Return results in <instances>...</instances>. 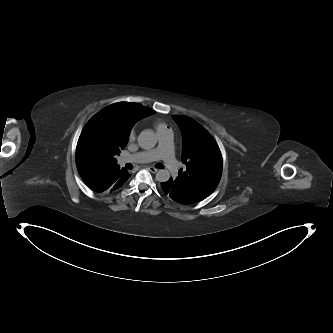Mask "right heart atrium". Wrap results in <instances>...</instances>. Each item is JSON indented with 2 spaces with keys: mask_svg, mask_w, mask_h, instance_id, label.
<instances>
[{
  "mask_svg": "<svg viewBox=\"0 0 333 333\" xmlns=\"http://www.w3.org/2000/svg\"><path fill=\"white\" fill-rule=\"evenodd\" d=\"M135 139V131L133 129L129 130L127 133V141L132 142Z\"/></svg>",
  "mask_w": 333,
  "mask_h": 333,
  "instance_id": "obj_1",
  "label": "right heart atrium"
}]
</instances>
